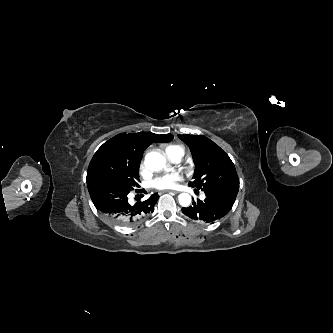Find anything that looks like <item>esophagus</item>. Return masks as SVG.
<instances>
[{
    "mask_svg": "<svg viewBox=\"0 0 333 333\" xmlns=\"http://www.w3.org/2000/svg\"><path fill=\"white\" fill-rule=\"evenodd\" d=\"M164 192L172 193V194H178V192H177V191H174V190H166V191H164Z\"/></svg>",
    "mask_w": 333,
    "mask_h": 333,
    "instance_id": "34e87169",
    "label": "esophagus"
}]
</instances>
